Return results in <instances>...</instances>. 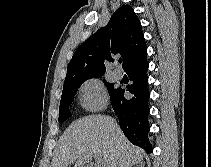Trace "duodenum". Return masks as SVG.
Wrapping results in <instances>:
<instances>
[{
	"label": "duodenum",
	"instance_id": "duodenum-1",
	"mask_svg": "<svg viewBox=\"0 0 211 167\" xmlns=\"http://www.w3.org/2000/svg\"><path fill=\"white\" fill-rule=\"evenodd\" d=\"M86 167H98V166L97 165H94V164H90V165H88Z\"/></svg>",
	"mask_w": 211,
	"mask_h": 167
}]
</instances>
